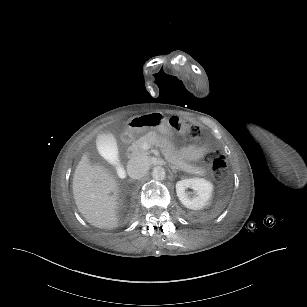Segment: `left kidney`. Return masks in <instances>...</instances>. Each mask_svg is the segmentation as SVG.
I'll list each match as a JSON object with an SVG mask.
<instances>
[{
  "label": "left kidney",
  "instance_id": "left-kidney-1",
  "mask_svg": "<svg viewBox=\"0 0 307 307\" xmlns=\"http://www.w3.org/2000/svg\"><path fill=\"white\" fill-rule=\"evenodd\" d=\"M191 188L193 192L186 190ZM213 184L204 178L183 179L176 183V194L180 202L192 210H200L210 205Z\"/></svg>",
  "mask_w": 307,
  "mask_h": 307
}]
</instances>
